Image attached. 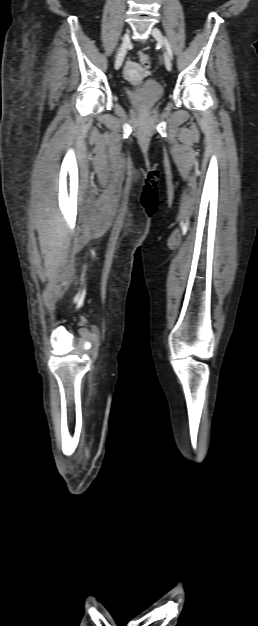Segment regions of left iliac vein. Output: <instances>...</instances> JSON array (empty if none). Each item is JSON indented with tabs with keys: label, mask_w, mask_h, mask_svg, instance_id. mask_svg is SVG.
I'll use <instances>...</instances> for the list:
<instances>
[{
	"label": "left iliac vein",
	"mask_w": 258,
	"mask_h": 626,
	"mask_svg": "<svg viewBox=\"0 0 258 626\" xmlns=\"http://www.w3.org/2000/svg\"><path fill=\"white\" fill-rule=\"evenodd\" d=\"M151 33H152L153 37L157 40V42L161 46H163L164 45V38H163V35H162L161 31L158 28L154 27L152 29ZM164 62H165L166 69L168 71H171L172 70V63H171V60H170V57H169L168 53H166V52L164 53Z\"/></svg>",
	"instance_id": "obj_1"
}]
</instances>
